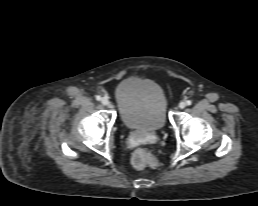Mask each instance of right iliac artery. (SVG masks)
<instances>
[{
  "mask_svg": "<svg viewBox=\"0 0 258 206\" xmlns=\"http://www.w3.org/2000/svg\"><path fill=\"white\" fill-rule=\"evenodd\" d=\"M96 100H101V96H99V95H96Z\"/></svg>",
  "mask_w": 258,
  "mask_h": 206,
  "instance_id": "82829eb1",
  "label": "right iliac artery"
}]
</instances>
